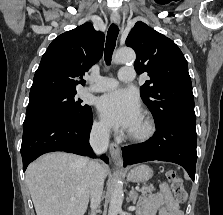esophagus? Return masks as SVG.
Returning a JSON list of instances; mask_svg holds the SVG:
<instances>
[{"instance_id": "34e87169", "label": "esophagus", "mask_w": 223, "mask_h": 215, "mask_svg": "<svg viewBox=\"0 0 223 215\" xmlns=\"http://www.w3.org/2000/svg\"><path fill=\"white\" fill-rule=\"evenodd\" d=\"M111 22L114 23L115 25L120 24V16L118 15V13L113 12L111 14ZM109 150H110L111 157L114 160L121 163L120 146L117 143H111L110 147H109Z\"/></svg>"}]
</instances>
